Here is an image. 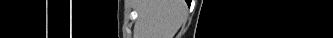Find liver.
<instances>
[{"mask_svg": "<svg viewBox=\"0 0 333 38\" xmlns=\"http://www.w3.org/2000/svg\"><path fill=\"white\" fill-rule=\"evenodd\" d=\"M137 38H173L187 16L184 0H140Z\"/></svg>", "mask_w": 333, "mask_h": 38, "instance_id": "6515ba94", "label": "liver"}]
</instances>
